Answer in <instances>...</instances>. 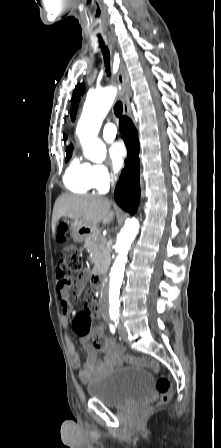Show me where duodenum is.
I'll return each mask as SVG.
<instances>
[{
    "label": "duodenum",
    "mask_w": 221,
    "mask_h": 448,
    "mask_svg": "<svg viewBox=\"0 0 221 448\" xmlns=\"http://www.w3.org/2000/svg\"><path fill=\"white\" fill-rule=\"evenodd\" d=\"M92 280L96 285H102L103 284V274L100 271H95L92 274Z\"/></svg>",
    "instance_id": "1"
}]
</instances>
